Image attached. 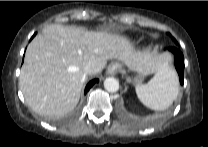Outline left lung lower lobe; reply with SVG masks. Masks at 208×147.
<instances>
[{
  "instance_id": "0a47b994",
  "label": "left lung lower lobe",
  "mask_w": 208,
  "mask_h": 147,
  "mask_svg": "<svg viewBox=\"0 0 208 147\" xmlns=\"http://www.w3.org/2000/svg\"><path fill=\"white\" fill-rule=\"evenodd\" d=\"M169 50L175 55V68L178 72L180 83H184V56L177 47H169Z\"/></svg>"
}]
</instances>
